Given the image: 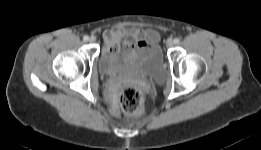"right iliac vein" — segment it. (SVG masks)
I'll list each match as a JSON object with an SVG mask.
<instances>
[{"label":"right iliac vein","mask_w":261,"mask_h":150,"mask_svg":"<svg viewBox=\"0 0 261 150\" xmlns=\"http://www.w3.org/2000/svg\"><path fill=\"white\" fill-rule=\"evenodd\" d=\"M90 42H95L96 41V37L95 36H91L89 39Z\"/></svg>","instance_id":"right-iliac-vein-1"}]
</instances>
